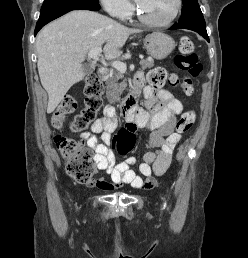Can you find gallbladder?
Listing matches in <instances>:
<instances>
[{
	"label": "gallbladder",
	"instance_id": "bac80fb5",
	"mask_svg": "<svg viewBox=\"0 0 248 258\" xmlns=\"http://www.w3.org/2000/svg\"><path fill=\"white\" fill-rule=\"evenodd\" d=\"M84 68H85L86 74H90V73H92L93 70H94V67H93L92 64H86Z\"/></svg>",
	"mask_w": 248,
	"mask_h": 258
}]
</instances>
